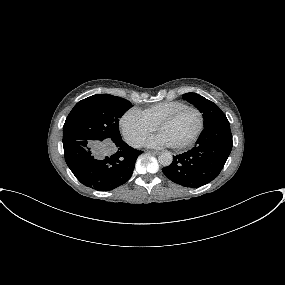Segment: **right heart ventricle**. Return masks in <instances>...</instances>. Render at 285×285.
Masks as SVG:
<instances>
[{"label": "right heart ventricle", "mask_w": 285, "mask_h": 285, "mask_svg": "<svg viewBox=\"0 0 285 285\" xmlns=\"http://www.w3.org/2000/svg\"><path fill=\"white\" fill-rule=\"evenodd\" d=\"M186 103L177 100H169L155 103L137 112L152 126L156 125L176 109L185 106Z\"/></svg>", "instance_id": "1"}]
</instances>
